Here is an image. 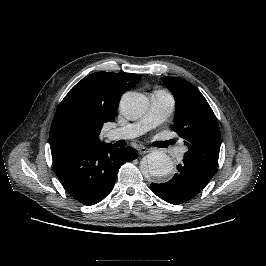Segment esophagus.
I'll list each match as a JSON object with an SVG mask.
<instances>
[{
    "mask_svg": "<svg viewBox=\"0 0 266 266\" xmlns=\"http://www.w3.org/2000/svg\"><path fill=\"white\" fill-rule=\"evenodd\" d=\"M137 150H138V153H139L140 155H143V154H145V153H147V152L149 151L148 148L143 147V146L138 147Z\"/></svg>",
    "mask_w": 266,
    "mask_h": 266,
    "instance_id": "esophagus-1",
    "label": "esophagus"
}]
</instances>
